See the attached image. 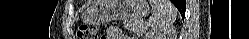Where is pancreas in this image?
<instances>
[{"instance_id":"cf45deb5","label":"pancreas","mask_w":249,"mask_h":39,"mask_svg":"<svg viewBox=\"0 0 249 39\" xmlns=\"http://www.w3.org/2000/svg\"><path fill=\"white\" fill-rule=\"evenodd\" d=\"M124 27L127 28L128 30L133 31L134 33L141 35L143 34L145 28L143 26V23L138 20H126L124 21Z\"/></svg>"}]
</instances>
